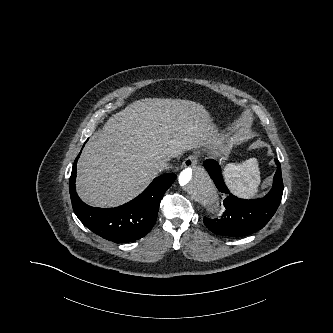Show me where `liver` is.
I'll list each match as a JSON object with an SVG mask.
<instances>
[{
	"mask_svg": "<svg viewBox=\"0 0 333 333\" xmlns=\"http://www.w3.org/2000/svg\"><path fill=\"white\" fill-rule=\"evenodd\" d=\"M215 125L199 103L145 98L114 114L94 133L77 163L76 190L95 207H117L156 177V163L209 143Z\"/></svg>",
	"mask_w": 333,
	"mask_h": 333,
	"instance_id": "1",
	"label": "liver"
}]
</instances>
